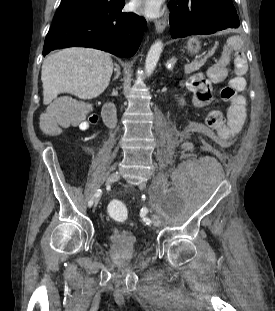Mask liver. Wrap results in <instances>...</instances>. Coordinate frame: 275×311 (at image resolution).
Returning <instances> with one entry per match:
<instances>
[{
  "mask_svg": "<svg viewBox=\"0 0 275 311\" xmlns=\"http://www.w3.org/2000/svg\"><path fill=\"white\" fill-rule=\"evenodd\" d=\"M113 71L109 53L73 47L49 55L43 62V103L50 104L60 93L80 99L98 97L108 87Z\"/></svg>",
  "mask_w": 275,
  "mask_h": 311,
  "instance_id": "obj_1",
  "label": "liver"
}]
</instances>
